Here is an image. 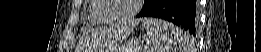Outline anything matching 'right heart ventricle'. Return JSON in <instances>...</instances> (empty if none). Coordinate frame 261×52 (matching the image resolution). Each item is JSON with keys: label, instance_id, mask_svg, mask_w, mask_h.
I'll return each instance as SVG.
<instances>
[{"label": "right heart ventricle", "instance_id": "1", "mask_svg": "<svg viewBox=\"0 0 261 52\" xmlns=\"http://www.w3.org/2000/svg\"><path fill=\"white\" fill-rule=\"evenodd\" d=\"M99 6H100V4L97 0L90 1V5L87 9V15H88V20L92 24H101V22L99 21V19L96 16V11L98 10Z\"/></svg>", "mask_w": 261, "mask_h": 52}]
</instances>
